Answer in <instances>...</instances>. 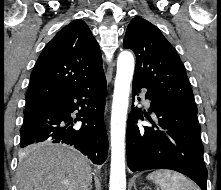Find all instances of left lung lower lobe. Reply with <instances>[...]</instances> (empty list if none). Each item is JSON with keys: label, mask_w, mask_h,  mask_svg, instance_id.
Returning a JSON list of instances; mask_svg holds the SVG:
<instances>
[{"label": "left lung lower lobe", "mask_w": 221, "mask_h": 190, "mask_svg": "<svg viewBox=\"0 0 221 190\" xmlns=\"http://www.w3.org/2000/svg\"><path fill=\"white\" fill-rule=\"evenodd\" d=\"M146 88L151 110L157 123L148 113L134 107L127 122V164L132 172L151 169L178 171L207 190V169L203 160V145L197 114L189 113L168 104L162 97L140 80L133 78V96ZM143 115L151 126L138 124Z\"/></svg>", "instance_id": "obj_1"}]
</instances>
